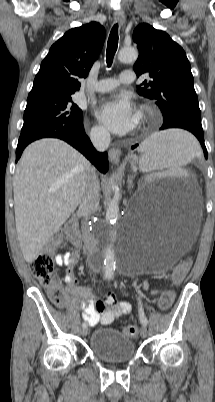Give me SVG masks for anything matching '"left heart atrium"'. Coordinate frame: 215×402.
<instances>
[{
    "mask_svg": "<svg viewBox=\"0 0 215 402\" xmlns=\"http://www.w3.org/2000/svg\"><path fill=\"white\" fill-rule=\"evenodd\" d=\"M99 120L112 132L126 134L136 128L138 115L125 95L104 101L97 111Z\"/></svg>",
    "mask_w": 215,
    "mask_h": 402,
    "instance_id": "1",
    "label": "left heart atrium"
}]
</instances>
